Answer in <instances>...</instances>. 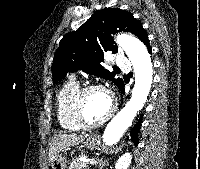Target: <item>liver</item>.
<instances>
[{
	"label": "liver",
	"instance_id": "1",
	"mask_svg": "<svg viewBox=\"0 0 200 169\" xmlns=\"http://www.w3.org/2000/svg\"><path fill=\"white\" fill-rule=\"evenodd\" d=\"M85 138H87V135H76V134H57L55 135L50 143L49 147V154H48V161L49 164H51L58 154L70 146H74L82 142Z\"/></svg>",
	"mask_w": 200,
	"mask_h": 169
}]
</instances>
